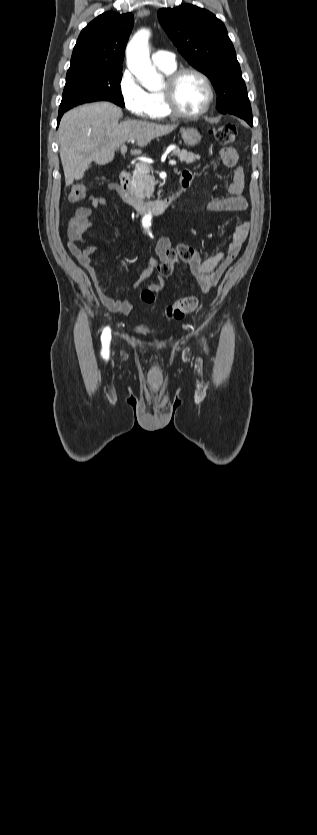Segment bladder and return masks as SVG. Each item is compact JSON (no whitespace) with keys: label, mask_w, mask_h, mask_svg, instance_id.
<instances>
[{"label":"bladder","mask_w":317,"mask_h":835,"mask_svg":"<svg viewBox=\"0 0 317 835\" xmlns=\"http://www.w3.org/2000/svg\"><path fill=\"white\" fill-rule=\"evenodd\" d=\"M136 329H137V331H138V332H140V333H145V332H147V331H148L147 326H146V325H143V324L139 325Z\"/></svg>","instance_id":"bladder-1"}]
</instances>
